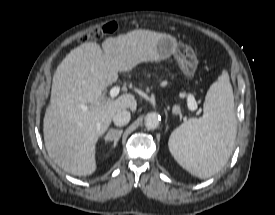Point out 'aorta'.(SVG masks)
I'll return each instance as SVG.
<instances>
[{"label":"aorta","mask_w":275,"mask_h":215,"mask_svg":"<svg viewBox=\"0 0 275 215\" xmlns=\"http://www.w3.org/2000/svg\"><path fill=\"white\" fill-rule=\"evenodd\" d=\"M161 117L156 112L148 113L145 117V126L147 129H155L159 126Z\"/></svg>","instance_id":"aorta-1"}]
</instances>
